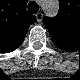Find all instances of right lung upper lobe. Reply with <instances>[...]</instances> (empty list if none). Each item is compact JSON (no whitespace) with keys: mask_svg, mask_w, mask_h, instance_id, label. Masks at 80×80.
<instances>
[{"mask_svg":"<svg viewBox=\"0 0 80 80\" xmlns=\"http://www.w3.org/2000/svg\"><path fill=\"white\" fill-rule=\"evenodd\" d=\"M35 21V16L26 11L24 0H10L0 12L1 46L8 50L16 49Z\"/></svg>","mask_w":80,"mask_h":80,"instance_id":"right-lung-upper-lobe-1","label":"right lung upper lobe"}]
</instances>
